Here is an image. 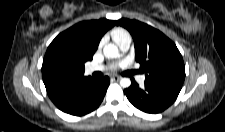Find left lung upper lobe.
Listing matches in <instances>:
<instances>
[{
	"label": "left lung upper lobe",
	"instance_id": "5c2ea615",
	"mask_svg": "<svg viewBox=\"0 0 225 132\" xmlns=\"http://www.w3.org/2000/svg\"><path fill=\"white\" fill-rule=\"evenodd\" d=\"M116 24L131 33L136 61L140 63L147 81L182 86L185 79L184 62L176 45L168 37L137 20L122 18Z\"/></svg>",
	"mask_w": 225,
	"mask_h": 132
}]
</instances>
